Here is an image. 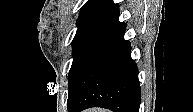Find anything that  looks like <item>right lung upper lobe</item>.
<instances>
[{
  "mask_svg": "<svg viewBox=\"0 0 193 112\" xmlns=\"http://www.w3.org/2000/svg\"><path fill=\"white\" fill-rule=\"evenodd\" d=\"M119 6L112 0H88L77 20L79 29H99L119 33L126 28L119 22Z\"/></svg>",
  "mask_w": 193,
  "mask_h": 112,
  "instance_id": "cb5924a9",
  "label": "right lung upper lobe"
}]
</instances>
